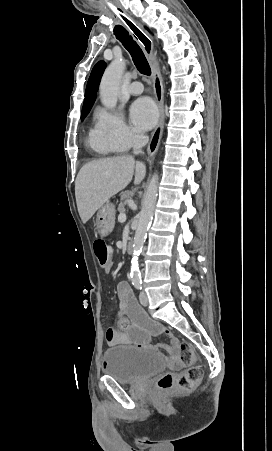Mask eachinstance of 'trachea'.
Segmentation results:
<instances>
[{
  "label": "trachea",
  "instance_id": "3493384b",
  "mask_svg": "<svg viewBox=\"0 0 272 451\" xmlns=\"http://www.w3.org/2000/svg\"><path fill=\"white\" fill-rule=\"evenodd\" d=\"M126 23L129 25V27L133 30L135 29V25H133L129 20H126ZM116 38L122 43V45L128 50L130 55L132 56V59L134 61L135 66L137 67V70H139L140 73H143V75H150V65L147 62V59L139 47V45L133 40V38L129 35L128 31L121 27H116L115 32Z\"/></svg>",
  "mask_w": 272,
  "mask_h": 451
}]
</instances>
